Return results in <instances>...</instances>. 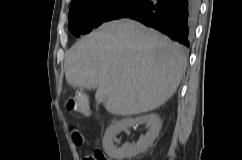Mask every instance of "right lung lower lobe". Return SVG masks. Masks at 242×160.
<instances>
[{
	"label": "right lung lower lobe",
	"mask_w": 242,
	"mask_h": 160,
	"mask_svg": "<svg viewBox=\"0 0 242 160\" xmlns=\"http://www.w3.org/2000/svg\"><path fill=\"white\" fill-rule=\"evenodd\" d=\"M198 12L199 0H143L123 17L140 21L189 47Z\"/></svg>",
	"instance_id": "right-lung-lower-lobe-1"
}]
</instances>
